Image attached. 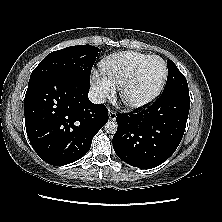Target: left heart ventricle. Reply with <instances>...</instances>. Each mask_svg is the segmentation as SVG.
<instances>
[{
    "mask_svg": "<svg viewBox=\"0 0 222 222\" xmlns=\"http://www.w3.org/2000/svg\"><path fill=\"white\" fill-rule=\"evenodd\" d=\"M163 74L164 66L161 60H151L143 69L138 80L128 90V98L137 101L151 95L159 86Z\"/></svg>",
    "mask_w": 222,
    "mask_h": 222,
    "instance_id": "b2bd125f",
    "label": "left heart ventricle"
}]
</instances>
